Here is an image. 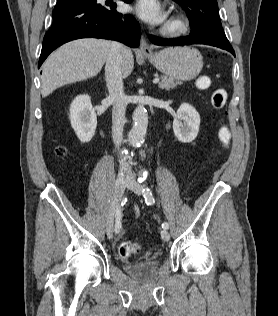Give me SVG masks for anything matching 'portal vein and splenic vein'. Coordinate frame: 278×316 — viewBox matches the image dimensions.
Instances as JSON below:
<instances>
[{
	"label": "portal vein and splenic vein",
	"instance_id": "obj_1",
	"mask_svg": "<svg viewBox=\"0 0 278 316\" xmlns=\"http://www.w3.org/2000/svg\"><path fill=\"white\" fill-rule=\"evenodd\" d=\"M153 83H154V84L159 83V79H158V78H155V79L153 80Z\"/></svg>",
	"mask_w": 278,
	"mask_h": 316
}]
</instances>
